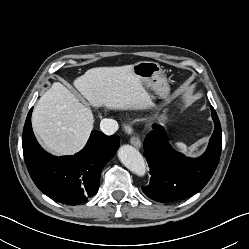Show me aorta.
<instances>
[{"mask_svg":"<svg viewBox=\"0 0 249 249\" xmlns=\"http://www.w3.org/2000/svg\"><path fill=\"white\" fill-rule=\"evenodd\" d=\"M120 162L137 176L143 177L146 173V164L140 152L130 145H123L118 150Z\"/></svg>","mask_w":249,"mask_h":249,"instance_id":"1","label":"aorta"}]
</instances>
